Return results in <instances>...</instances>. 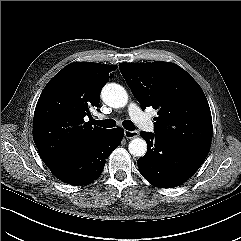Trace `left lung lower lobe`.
I'll return each instance as SVG.
<instances>
[{"label": "left lung lower lobe", "mask_w": 241, "mask_h": 241, "mask_svg": "<svg viewBox=\"0 0 241 241\" xmlns=\"http://www.w3.org/2000/svg\"><path fill=\"white\" fill-rule=\"evenodd\" d=\"M148 149L139 158V172L153 186L176 187L186 182L203 164L209 149L141 132Z\"/></svg>", "instance_id": "1"}]
</instances>
